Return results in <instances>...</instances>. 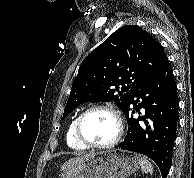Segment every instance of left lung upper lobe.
<instances>
[{
    "instance_id": "obj_1",
    "label": "left lung upper lobe",
    "mask_w": 194,
    "mask_h": 178,
    "mask_svg": "<svg viewBox=\"0 0 194 178\" xmlns=\"http://www.w3.org/2000/svg\"><path fill=\"white\" fill-rule=\"evenodd\" d=\"M162 46L139 26H123L81 63L63 118L87 101H114L124 112L127 100L167 62Z\"/></svg>"
}]
</instances>
